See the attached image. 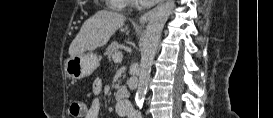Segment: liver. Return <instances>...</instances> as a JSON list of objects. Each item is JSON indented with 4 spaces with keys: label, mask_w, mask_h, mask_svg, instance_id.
I'll return each instance as SVG.
<instances>
[{
    "label": "liver",
    "mask_w": 273,
    "mask_h": 118,
    "mask_svg": "<svg viewBox=\"0 0 273 118\" xmlns=\"http://www.w3.org/2000/svg\"><path fill=\"white\" fill-rule=\"evenodd\" d=\"M122 14L101 10L87 19L69 47V55L76 56L85 51L102 47L111 36L124 25Z\"/></svg>",
    "instance_id": "1"
}]
</instances>
